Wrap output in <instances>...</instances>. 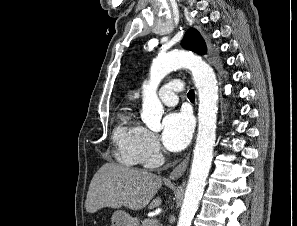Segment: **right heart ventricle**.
<instances>
[{
    "label": "right heart ventricle",
    "instance_id": "e07e8e85",
    "mask_svg": "<svg viewBox=\"0 0 297 226\" xmlns=\"http://www.w3.org/2000/svg\"><path fill=\"white\" fill-rule=\"evenodd\" d=\"M113 140L118 147V160L126 165L138 163L139 126L125 115L115 127Z\"/></svg>",
    "mask_w": 297,
    "mask_h": 226
}]
</instances>
